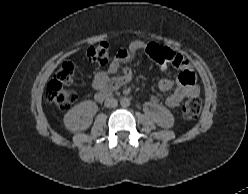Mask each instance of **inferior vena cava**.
<instances>
[{"label": "inferior vena cava", "instance_id": "602c4592", "mask_svg": "<svg viewBox=\"0 0 248 194\" xmlns=\"http://www.w3.org/2000/svg\"><path fill=\"white\" fill-rule=\"evenodd\" d=\"M117 105H118V102H117V100L114 99V98H107V99L105 100V106H106L107 108H115Z\"/></svg>", "mask_w": 248, "mask_h": 194}]
</instances>
